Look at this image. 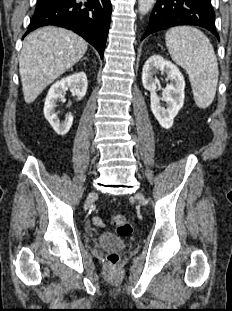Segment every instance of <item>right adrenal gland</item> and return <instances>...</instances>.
Listing matches in <instances>:
<instances>
[{
	"instance_id": "2a0ac1e0",
	"label": "right adrenal gland",
	"mask_w": 232,
	"mask_h": 311,
	"mask_svg": "<svg viewBox=\"0 0 232 311\" xmlns=\"http://www.w3.org/2000/svg\"><path fill=\"white\" fill-rule=\"evenodd\" d=\"M87 58L85 57V58H83L82 60H86Z\"/></svg>"
}]
</instances>
